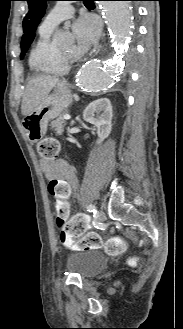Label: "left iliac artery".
<instances>
[{"mask_svg":"<svg viewBox=\"0 0 183 329\" xmlns=\"http://www.w3.org/2000/svg\"><path fill=\"white\" fill-rule=\"evenodd\" d=\"M87 211L94 213V214L97 212L96 207L93 204H90L87 206Z\"/></svg>","mask_w":183,"mask_h":329,"instance_id":"left-iliac-artery-1","label":"left iliac artery"}]
</instances>
